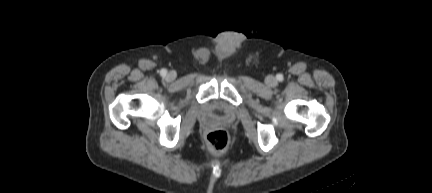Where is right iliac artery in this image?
I'll return each mask as SVG.
<instances>
[{
	"mask_svg": "<svg viewBox=\"0 0 432 193\" xmlns=\"http://www.w3.org/2000/svg\"><path fill=\"white\" fill-rule=\"evenodd\" d=\"M160 74H161V76H165L167 74V70L161 69Z\"/></svg>",
	"mask_w": 432,
	"mask_h": 193,
	"instance_id": "right-iliac-artery-1",
	"label": "right iliac artery"
}]
</instances>
